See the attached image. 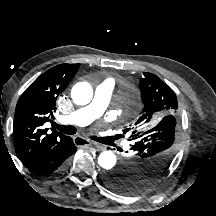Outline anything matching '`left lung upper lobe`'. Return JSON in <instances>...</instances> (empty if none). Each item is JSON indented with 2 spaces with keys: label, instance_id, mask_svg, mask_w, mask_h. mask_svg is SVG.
<instances>
[{
  "label": "left lung upper lobe",
  "instance_id": "obj_1",
  "mask_svg": "<svg viewBox=\"0 0 216 216\" xmlns=\"http://www.w3.org/2000/svg\"><path fill=\"white\" fill-rule=\"evenodd\" d=\"M139 88L143 109L131 128L130 152L108 172L106 184L134 194L154 184L168 169L181 138V108L174 91L159 77L143 73Z\"/></svg>",
  "mask_w": 216,
  "mask_h": 216
}]
</instances>
